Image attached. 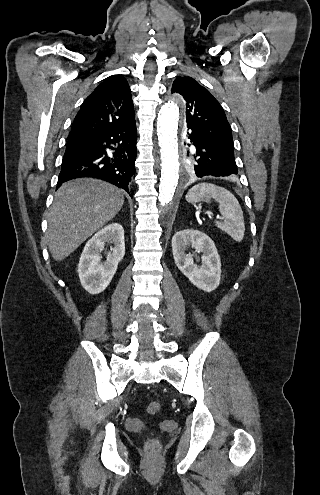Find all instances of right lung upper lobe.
Returning a JSON list of instances; mask_svg holds the SVG:
<instances>
[{
	"instance_id": "cb5924a9",
	"label": "right lung upper lobe",
	"mask_w": 320,
	"mask_h": 495,
	"mask_svg": "<svg viewBox=\"0 0 320 495\" xmlns=\"http://www.w3.org/2000/svg\"><path fill=\"white\" fill-rule=\"evenodd\" d=\"M135 122L131 90L125 77L105 79L85 99L67 137L68 140L127 127Z\"/></svg>"
}]
</instances>
